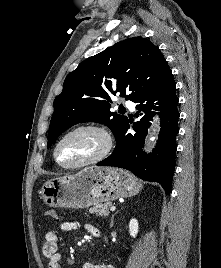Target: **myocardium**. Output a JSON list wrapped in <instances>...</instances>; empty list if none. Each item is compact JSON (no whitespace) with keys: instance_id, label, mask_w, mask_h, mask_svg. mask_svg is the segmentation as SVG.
Wrapping results in <instances>:
<instances>
[{"instance_id":"myocardium-1","label":"myocardium","mask_w":221,"mask_h":268,"mask_svg":"<svg viewBox=\"0 0 221 268\" xmlns=\"http://www.w3.org/2000/svg\"><path fill=\"white\" fill-rule=\"evenodd\" d=\"M84 130L95 131L102 136L103 141H104L102 149L95 156H93L90 159L85 160L81 163L73 164V165H66V164L62 163L58 158L59 147L64 142V140L66 138H68L70 135L77 133L79 131H84ZM112 149H113V139H112L111 134L109 133V131L105 127H103L101 125H97V124H83V125H79V126H76L72 129H70L63 136L60 137V139L55 144V147L53 150V156H54L56 163L59 166H61L62 168L79 169V168H82L85 166L96 164V163L104 160L106 157H108L110 155V153L112 152Z\"/></svg>"}]
</instances>
